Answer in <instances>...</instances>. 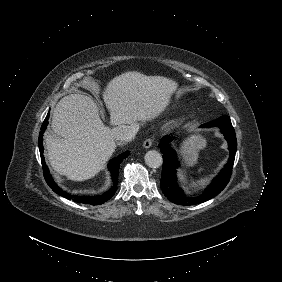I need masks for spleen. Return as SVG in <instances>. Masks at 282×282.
Instances as JSON below:
<instances>
[{
  "label": "spleen",
  "instance_id": "1",
  "mask_svg": "<svg viewBox=\"0 0 282 282\" xmlns=\"http://www.w3.org/2000/svg\"><path fill=\"white\" fill-rule=\"evenodd\" d=\"M202 170H203V169L200 168V169L198 170V172H201Z\"/></svg>",
  "mask_w": 282,
  "mask_h": 282
}]
</instances>
